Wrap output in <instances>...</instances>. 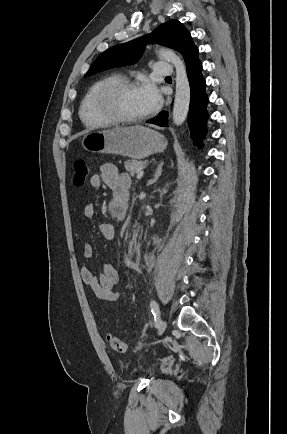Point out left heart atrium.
Returning <instances> with one entry per match:
<instances>
[{
  "instance_id": "39dd6f15",
  "label": "left heart atrium",
  "mask_w": 287,
  "mask_h": 434,
  "mask_svg": "<svg viewBox=\"0 0 287 434\" xmlns=\"http://www.w3.org/2000/svg\"><path fill=\"white\" fill-rule=\"evenodd\" d=\"M138 89L147 113L156 111L162 103L158 88L151 82H145Z\"/></svg>"
}]
</instances>
